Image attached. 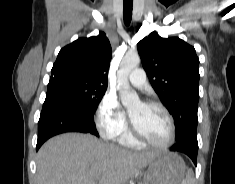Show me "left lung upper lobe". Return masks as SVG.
I'll return each mask as SVG.
<instances>
[{
    "instance_id": "1",
    "label": "left lung upper lobe",
    "mask_w": 235,
    "mask_h": 184,
    "mask_svg": "<svg viewBox=\"0 0 235 184\" xmlns=\"http://www.w3.org/2000/svg\"><path fill=\"white\" fill-rule=\"evenodd\" d=\"M138 52L152 87L172 114L177 143L198 145L199 59L193 46L178 37L152 32Z\"/></svg>"
}]
</instances>
